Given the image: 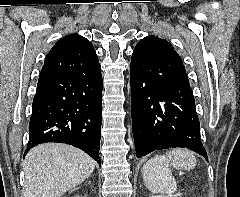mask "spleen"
Masks as SVG:
<instances>
[{"label": "spleen", "instance_id": "spleen-1", "mask_svg": "<svg viewBox=\"0 0 240 197\" xmlns=\"http://www.w3.org/2000/svg\"><path fill=\"white\" fill-rule=\"evenodd\" d=\"M185 159H193L196 162V158L191 152L182 149H173L167 154L151 158L143 168L146 187L153 193H174L177 189V183L169 164Z\"/></svg>", "mask_w": 240, "mask_h": 197}]
</instances>
